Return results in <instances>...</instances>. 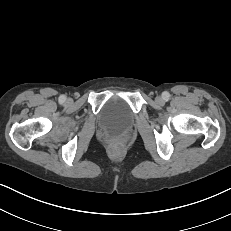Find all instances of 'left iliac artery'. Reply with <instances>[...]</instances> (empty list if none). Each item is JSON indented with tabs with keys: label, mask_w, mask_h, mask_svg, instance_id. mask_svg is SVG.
Masks as SVG:
<instances>
[{
	"label": "left iliac artery",
	"mask_w": 231,
	"mask_h": 231,
	"mask_svg": "<svg viewBox=\"0 0 231 231\" xmlns=\"http://www.w3.org/2000/svg\"><path fill=\"white\" fill-rule=\"evenodd\" d=\"M162 97H163V99H164L165 101H168V100L170 99V94H169V92L164 91V92L162 93Z\"/></svg>",
	"instance_id": "1"
}]
</instances>
